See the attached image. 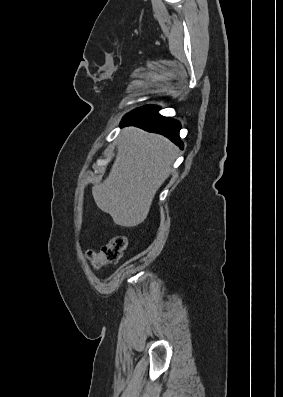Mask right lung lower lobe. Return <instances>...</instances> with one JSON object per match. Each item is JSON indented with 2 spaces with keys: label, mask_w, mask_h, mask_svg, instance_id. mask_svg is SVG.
I'll return each mask as SVG.
<instances>
[{
  "label": "right lung lower lobe",
  "mask_w": 283,
  "mask_h": 397,
  "mask_svg": "<svg viewBox=\"0 0 283 397\" xmlns=\"http://www.w3.org/2000/svg\"><path fill=\"white\" fill-rule=\"evenodd\" d=\"M158 111L159 107L154 105L137 108L124 116L121 126L133 125L148 132L162 134L183 149V143L179 137L180 122L166 118Z\"/></svg>",
  "instance_id": "obj_1"
}]
</instances>
